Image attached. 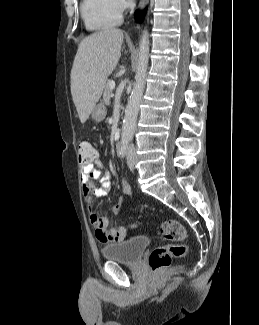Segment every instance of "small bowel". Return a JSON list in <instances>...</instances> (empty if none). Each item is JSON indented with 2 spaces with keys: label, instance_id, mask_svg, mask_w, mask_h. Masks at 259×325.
I'll return each mask as SVG.
<instances>
[{
  "label": "small bowel",
  "instance_id": "obj_1",
  "mask_svg": "<svg viewBox=\"0 0 259 325\" xmlns=\"http://www.w3.org/2000/svg\"><path fill=\"white\" fill-rule=\"evenodd\" d=\"M82 191L88 207L89 219L94 228L96 238L102 243L121 242L126 237V230L122 227L109 228L108 220L98 215L94 208L93 197L105 198L111 190V176L103 170V162L95 150V156L88 163L80 162ZM99 181V186H95ZM121 191L124 195H131V186L125 180L121 182Z\"/></svg>",
  "mask_w": 259,
  "mask_h": 325
}]
</instances>
